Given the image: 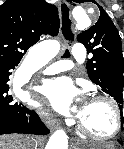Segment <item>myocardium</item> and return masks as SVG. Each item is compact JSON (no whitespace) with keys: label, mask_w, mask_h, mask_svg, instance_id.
Here are the masks:
<instances>
[{"label":"myocardium","mask_w":124,"mask_h":149,"mask_svg":"<svg viewBox=\"0 0 124 149\" xmlns=\"http://www.w3.org/2000/svg\"><path fill=\"white\" fill-rule=\"evenodd\" d=\"M91 101L92 102H94V101H105L111 105V107L114 111V115H115V122H116L115 123V129L109 135H106V136L97 135V134L93 133L91 130H89L84 125V123L79 119L78 120V128L80 129V131L82 133H84L85 135L89 136L90 138L97 140V141H109V140L116 138L122 130L123 117H124V113L122 112L119 104L116 102V100H114L113 98L106 96V95L94 96L91 99Z\"/></svg>","instance_id":"obj_1"}]
</instances>
